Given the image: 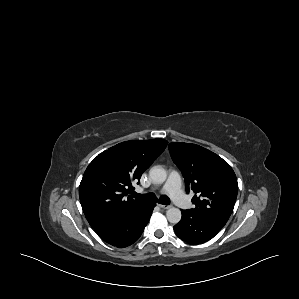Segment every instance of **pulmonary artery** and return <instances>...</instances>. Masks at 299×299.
Instances as JSON below:
<instances>
[{"instance_id":"pulmonary-artery-1","label":"pulmonary artery","mask_w":299,"mask_h":299,"mask_svg":"<svg viewBox=\"0 0 299 299\" xmlns=\"http://www.w3.org/2000/svg\"><path fill=\"white\" fill-rule=\"evenodd\" d=\"M161 192L168 194L180 207H186L187 201L181 189V176L179 172L175 170L170 172Z\"/></svg>"}]
</instances>
